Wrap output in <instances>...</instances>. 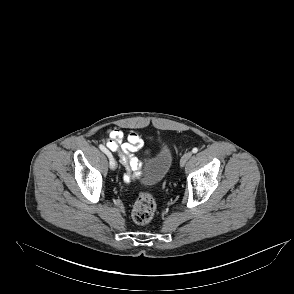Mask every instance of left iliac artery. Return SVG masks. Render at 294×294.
Returning <instances> with one entry per match:
<instances>
[{
    "label": "left iliac artery",
    "instance_id": "44dca946",
    "mask_svg": "<svg viewBox=\"0 0 294 294\" xmlns=\"http://www.w3.org/2000/svg\"><path fill=\"white\" fill-rule=\"evenodd\" d=\"M192 152H193V153H197V152H198V148L194 147V148L192 149Z\"/></svg>",
    "mask_w": 294,
    "mask_h": 294
}]
</instances>
